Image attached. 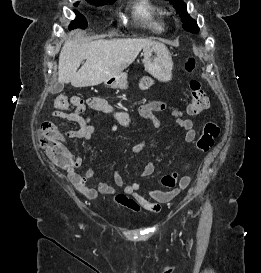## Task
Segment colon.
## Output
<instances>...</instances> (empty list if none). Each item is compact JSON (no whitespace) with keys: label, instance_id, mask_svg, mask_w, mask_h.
Instances as JSON below:
<instances>
[{"label":"colon","instance_id":"5ec220e1","mask_svg":"<svg viewBox=\"0 0 261 273\" xmlns=\"http://www.w3.org/2000/svg\"><path fill=\"white\" fill-rule=\"evenodd\" d=\"M195 66L196 61L194 58L186 60V71L192 72ZM189 88L191 101L188 106V113L190 115H197L209 107V98L198 80L192 79L189 82ZM55 106L69 110L74 116L81 117L84 110V101L79 96H72L69 98L65 95H58L55 98ZM219 134L220 128L218 123L214 120L207 121L203 125L202 133L196 141V149L201 152L208 151L214 145ZM38 139L42 148L53 162L65 167L73 164V157L62 144L60 135L57 132L48 130L43 126L38 133ZM181 179L179 181V175L177 173H170L162 177L161 185L170 191H178L180 188H185L187 186V183H182Z\"/></svg>","mask_w":261,"mask_h":273}]
</instances>
